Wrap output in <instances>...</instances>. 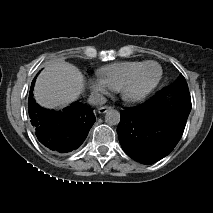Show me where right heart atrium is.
<instances>
[{"label":"right heart atrium","mask_w":213,"mask_h":213,"mask_svg":"<svg viewBox=\"0 0 213 213\" xmlns=\"http://www.w3.org/2000/svg\"><path fill=\"white\" fill-rule=\"evenodd\" d=\"M89 87L91 91L97 96L104 95L111 90L106 81L101 77L90 79Z\"/></svg>","instance_id":"1"}]
</instances>
